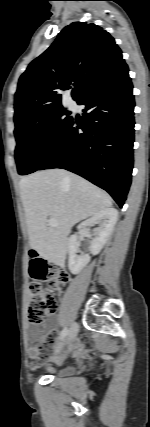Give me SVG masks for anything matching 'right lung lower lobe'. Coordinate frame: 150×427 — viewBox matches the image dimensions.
Returning a JSON list of instances; mask_svg holds the SVG:
<instances>
[{"label":"right lung lower lobe","instance_id":"98d812e1","mask_svg":"<svg viewBox=\"0 0 150 427\" xmlns=\"http://www.w3.org/2000/svg\"><path fill=\"white\" fill-rule=\"evenodd\" d=\"M132 88L126 65L90 89L77 102L86 106L83 117L71 121L37 170L74 172L106 190L122 207L133 169Z\"/></svg>","mask_w":150,"mask_h":427}]
</instances>
